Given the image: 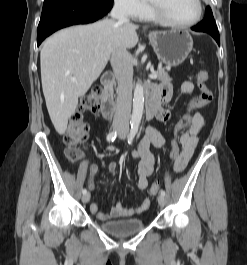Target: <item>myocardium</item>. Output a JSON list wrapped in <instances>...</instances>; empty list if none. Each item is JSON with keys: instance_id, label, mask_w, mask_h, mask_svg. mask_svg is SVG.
I'll list each match as a JSON object with an SVG mask.
<instances>
[{"instance_id": "f54148a6", "label": "myocardium", "mask_w": 247, "mask_h": 265, "mask_svg": "<svg viewBox=\"0 0 247 265\" xmlns=\"http://www.w3.org/2000/svg\"><path fill=\"white\" fill-rule=\"evenodd\" d=\"M198 12L194 19L185 23H178L170 19L164 11V8L160 4L154 3L152 0H148V7L151 15L159 23L166 25L168 27L185 29L196 25L203 17L204 5L202 0H197Z\"/></svg>"}]
</instances>
